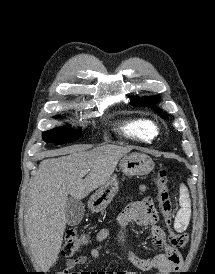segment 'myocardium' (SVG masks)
Segmentation results:
<instances>
[{"label": "myocardium", "instance_id": "myocardium-1", "mask_svg": "<svg viewBox=\"0 0 215 274\" xmlns=\"http://www.w3.org/2000/svg\"><path fill=\"white\" fill-rule=\"evenodd\" d=\"M154 131H155V134L158 132V129L157 128H154Z\"/></svg>", "mask_w": 215, "mask_h": 274}]
</instances>
